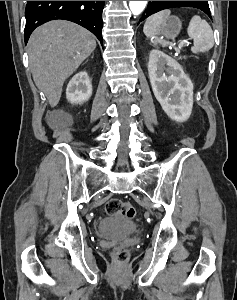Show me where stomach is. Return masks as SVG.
Instances as JSON below:
<instances>
[{"label":"stomach","mask_w":237,"mask_h":300,"mask_svg":"<svg viewBox=\"0 0 237 300\" xmlns=\"http://www.w3.org/2000/svg\"><path fill=\"white\" fill-rule=\"evenodd\" d=\"M182 23L178 17H168L163 25L159 27L157 35L166 39H175L181 31Z\"/></svg>","instance_id":"obj_1"}]
</instances>
